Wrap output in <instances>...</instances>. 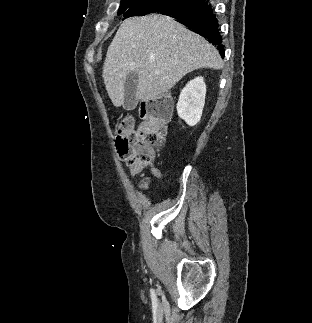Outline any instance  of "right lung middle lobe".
<instances>
[{
	"instance_id": "right-lung-middle-lobe-1",
	"label": "right lung middle lobe",
	"mask_w": 312,
	"mask_h": 323,
	"mask_svg": "<svg viewBox=\"0 0 312 323\" xmlns=\"http://www.w3.org/2000/svg\"><path fill=\"white\" fill-rule=\"evenodd\" d=\"M191 0H121L118 14L124 18L155 12L173 11Z\"/></svg>"
}]
</instances>
